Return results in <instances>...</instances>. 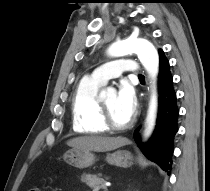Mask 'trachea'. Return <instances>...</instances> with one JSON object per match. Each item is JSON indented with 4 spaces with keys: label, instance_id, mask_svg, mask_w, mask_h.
Returning <instances> with one entry per match:
<instances>
[{
    "label": "trachea",
    "instance_id": "obj_1",
    "mask_svg": "<svg viewBox=\"0 0 210 191\" xmlns=\"http://www.w3.org/2000/svg\"><path fill=\"white\" fill-rule=\"evenodd\" d=\"M139 78H144V76L140 75Z\"/></svg>",
    "mask_w": 210,
    "mask_h": 191
}]
</instances>
